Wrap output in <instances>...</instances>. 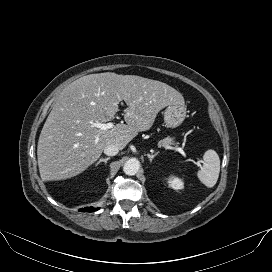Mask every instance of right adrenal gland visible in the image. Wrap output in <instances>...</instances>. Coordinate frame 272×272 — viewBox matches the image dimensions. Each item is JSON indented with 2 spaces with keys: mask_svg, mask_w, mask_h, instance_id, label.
<instances>
[{
  "mask_svg": "<svg viewBox=\"0 0 272 272\" xmlns=\"http://www.w3.org/2000/svg\"><path fill=\"white\" fill-rule=\"evenodd\" d=\"M108 160H110V157L101 158V159H99V161L96 163V166H98L101 162H104V163L106 164Z\"/></svg>",
  "mask_w": 272,
  "mask_h": 272,
  "instance_id": "1",
  "label": "right adrenal gland"
}]
</instances>
